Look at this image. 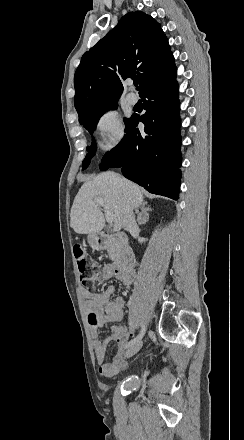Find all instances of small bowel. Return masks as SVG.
<instances>
[{"label": "small bowel", "mask_w": 244, "mask_h": 440, "mask_svg": "<svg viewBox=\"0 0 244 440\" xmlns=\"http://www.w3.org/2000/svg\"><path fill=\"white\" fill-rule=\"evenodd\" d=\"M115 277L120 284L130 287L134 283L135 271L124 269L120 263L108 264L103 267L99 279L108 280ZM98 277H96L97 279ZM94 280L95 278L92 277ZM115 292L114 286L107 289L91 293L86 288L81 287L80 294L83 298L84 310L90 323V333L92 336V345L99 372L105 378H111L128 368V362L123 357L127 347V341L132 339V333L127 332L122 325L114 324L111 326V335L101 341L98 338L97 329L106 323L119 322L124 317L125 301L122 296H116L113 300L112 295ZM96 315L97 321L94 323L92 317ZM115 342L116 353L112 362L106 363V351L110 342Z\"/></svg>", "instance_id": "c3829d8e"}]
</instances>
